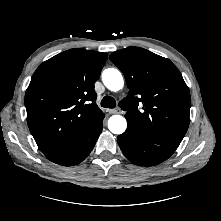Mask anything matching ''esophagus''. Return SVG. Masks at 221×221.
Listing matches in <instances>:
<instances>
[{
    "label": "esophagus",
    "instance_id": "1",
    "mask_svg": "<svg viewBox=\"0 0 221 221\" xmlns=\"http://www.w3.org/2000/svg\"><path fill=\"white\" fill-rule=\"evenodd\" d=\"M107 112H108L109 114H118V113H120V109H119V108L108 109Z\"/></svg>",
    "mask_w": 221,
    "mask_h": 221
}]
</instances>
